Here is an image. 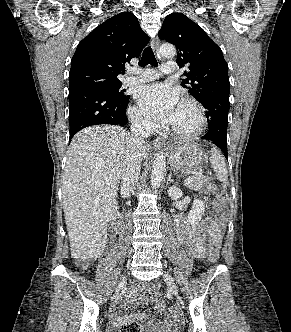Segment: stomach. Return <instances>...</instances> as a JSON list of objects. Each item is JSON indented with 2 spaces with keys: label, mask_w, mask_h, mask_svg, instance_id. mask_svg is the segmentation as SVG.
Segmentation results:
<instances>
[{
  "label": "stomach",
  "mask_w": 291,
  "mask_h": 332,
  "mask_svg": "<svg viewBox=\"0 0 291 332\" xmlns=\"http://www.w3.org/2000/svg\"><path fill=\"white\" fill-rule=\"evenodd\" d=\"M169 162L173 168L190 171L201 168L206 159L202 149L195 143L182 141L169 147Z\"/></svg>",
  "instance_id": "obj_1"
}]
</instances>
